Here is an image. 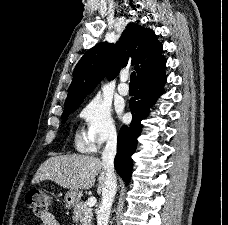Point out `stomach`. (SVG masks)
<instances>
[{
    "label": "stomach",
    "instance_id": "stomach-1",
    "mask_svg": "<svg viewBox=\"0 0 228 225\" xmlns=\"http://www.w3.org/2000/svg\"><path fill=\"white\" fill-rule=\"evenodd\" d=\"M80 191L78 189H69L65 195L66 207H75L80 199Z\"/></svg>",
    "mask_w": 228,
    "mask_h": 225
}]
</instances>
